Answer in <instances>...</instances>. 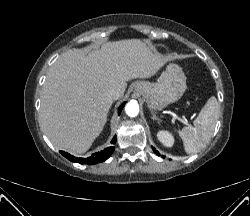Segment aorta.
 Instances as JSON below:
<instances>
[{
	"label": "aorta",
	"mask_w": 250,
	"mask_h": 216,
	"mask_svg": "<svg viewBox=\"0 0 250 216\" xmlns=\"http://www.w3.org/2000/svg\"><path fill=\"white\" fill-rule=\"evenodd\" d=\"M125 112L129 117H135L139 114V105L136 101H130L125 106Z\"/></svg>",
	"instance_id": "762f6f07"
}]
</instances>
